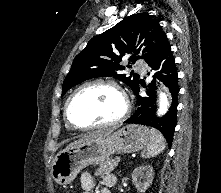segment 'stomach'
Segmentation results:
<instances>
[{
	"label": "stomach",
	"instance_id": "stomach-1",
	"mask_svg": "<svg viewBox=\"0 0 221 193\" xmlns=\"http://www.w3.org/2000/svg\"><path fill=\"white\" fill-rule=\"evenodd\" d=\"M149 143V128L136 124L126 125L60 151L52 161V178L57 184H70L86 166L101 164L113 154L137 152Z\"/></svg>",
	"mask_w": 221,
	"mask_h": 193
}]
</instances>
